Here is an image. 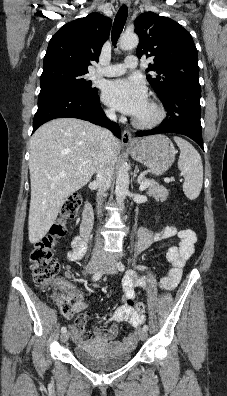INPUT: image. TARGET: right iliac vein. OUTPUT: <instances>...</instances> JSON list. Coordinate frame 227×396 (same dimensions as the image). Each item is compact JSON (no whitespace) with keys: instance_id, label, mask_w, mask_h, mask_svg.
<instances>
[{"instance_id":"1","label":"right iliac vein","mask_w":227,"mask_h":396,"mask_svg":"<svg viewBox=\"0 0 227 396\" xmlns=\"http://www.w3.org/2000/svg\"><path fill=\"white\" fill-rule=\"evenodd\" d=\"M104 267V262L100 261V260H92L89 265H88V272L89 273H96L99 270H102V268ZM70 337V332L69 331H65L64 333H62L61 335V341L62 342H67L68 339Z\"/></svg>"}]
</instances>
